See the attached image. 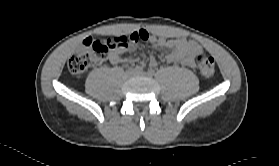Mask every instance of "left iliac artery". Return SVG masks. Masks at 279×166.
I'll list each match as a JSON object with an SVG mask.
<instances>
[{
	"instance_id": "obj_1",
	"label": "left iliac artery",
	"mask_w": 279,
	"mask_h": 166,
	"mask_svg": "<svg viewBox=\"0 0 279 166\" xmlns=\"http://www.w3.org/2000/svg\"><path fill=\"white\" fill-rule=\"evenodd\" d=\"M148 74L152 76V75L155 74V71H154L153 69H149V70H148Z\"/></svg>"
}]
</instances>
